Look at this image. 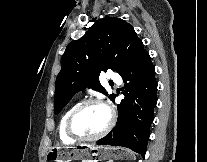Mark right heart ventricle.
Here are the masks:
<instances>
[{
    "mask_svg": "<svg viewBox=\"0 0 207 162\" xmlns=\"http://www.w3.org/2000/svg\"><path fill=\"white\" fill-rule=\"evenodd\" d=\"M79 103H75L74 105H72L69 109L66 110V112L62 115L60 122H59V126H58V131H59V137L63 142H71L74 141V139L70 138L67 136L66 132H65V123L66 120L69 116V114L71 113V111L78 105Z\"/></svg>",
    "mask_w": 207,
    "mask_h": 162,
    "instance_id": "right-heart-ventricle-1",
    "label": "right heart ventricle"
}]
</instances>
